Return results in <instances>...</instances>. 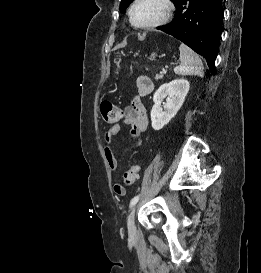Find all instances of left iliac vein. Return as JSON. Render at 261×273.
I'll use <instances>...</instances> for the list:
<instances>
[{"mask_svg":"<svg viewBox=\"0 0 261 273\" xmlns=\"http://www.w3.org/2000/svg\"><path fill=\"white\" fill-rule=\"evenodd\" d=\"M135 214H136V207L133 208L127 220L128 233L130 236H134L136 234Z\"/></svg>","mask_w":261,"mask_h":273,"instance_id":"left-iliac-vein-1","label":"left iliac vein"}]
</instances>
